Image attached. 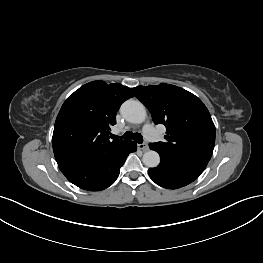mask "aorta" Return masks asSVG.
I'll return each instance as SVG.
<instances>
[{"mask_svg":"<svg viewBox=\"0 0 263 263\" xmlns=\"http://www.w3.org/2000/svg\"><path fill=\"white\" fill-rule=\"evenodd\" d=\"M120 112L127 121L136 124L143 123L147 115L145 106L137 100L125 101ZM142 160L147 167L154 168L159 165L160 156L156 151L149 150L144 153Z\"/></svg>","mask_w":263,"mask_h":263,"instance_id":"762f6f07","label":"aorta"}]
</instances>
